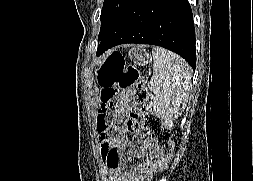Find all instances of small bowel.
Returning <instances> with one entry per match:
<instances>
[{
	"label": "small bowel",
	"instance_id": "small-bowel-1",
	"mask_svg": "<svg viewBox=\"0 0 253 181\" xmlns=\"http://www.w3.org/2000/svg\"><path fill=\"white\" fill-rule=\"evenodd\" d=\"M133 103L130 92H121L106 118L99 117L95 129L99 135L100 154L105 169L112 181H150L152 172L149 168L157 155L152 141L136 128L135 121L128 119L124 128L118 125ZM130 108V109H129ZM132 132L137 144L124 143L121 134ZM125 154V157L123 155ZM140 160L139 162H135ZM130 164V165H129Z\"/></svg>",
	"mask_w": 253,
	"mask_h": 181
}]
</instances>
